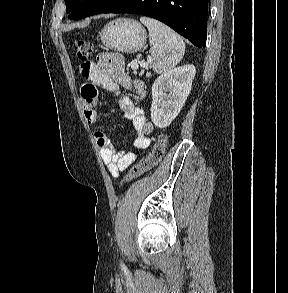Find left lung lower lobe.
Listing matches in <instances>:
<instances>
[{"mask_svg": "<svg viewBox=\"0 0 288 293\" xmlns=\"http://www.w3.org/2000/svg\"><path fill=\"white\" fill-rule=\"evenodd\" d=\"M102 13H132L157 19L204 47L207 38L208 0H119Z\"/></svg>", "mask_w": 288, "mask_h": 293, "instance_id": "obj_1", "label": "left lung lower lobe"}]
</instances>
